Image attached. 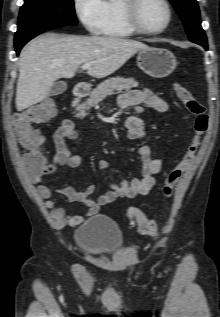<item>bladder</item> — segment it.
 Returning a JSON list of instances; mask_svg holds the SVG:
<instances>
[{
	"label": "bladder",
	"mask_w": 220,
	"mask_h": 317,
	"mask_svg": "<svg viewBox=\"0 0 220 317\" xmlns=\"http://www.w3.org/2000/svg\"><path fill=\"white\" fill-rule=\"evenodd\" d=\"M74 239L83 252L96 256L117 252L124 244L119 226L100 214L91 216L80 224L74 232Z\"/></svg>",
	"instance_id": "1"
}]
</instances>
